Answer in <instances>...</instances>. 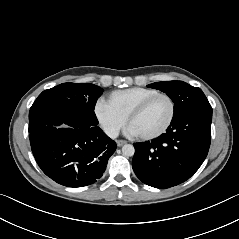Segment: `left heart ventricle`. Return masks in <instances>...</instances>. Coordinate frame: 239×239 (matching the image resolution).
Wrapping results in <instances>:
<instances>
[{"mask_svg": "<svg viewBox=\"0 0 239 239\" xmlns=\"http://www.w3.org/2000/svg\"><path fill=\"white\" fill-rule=\"evenodd\" d=\"M170 114V102L165 97H159L134 117L129 126L137 135L151 134L160 130L167 123Z\"/></svg>", "mask_w": 239, "mask_h": 239, "instance_id": "1", "label": "left heart ventricle"}]
</instances>
